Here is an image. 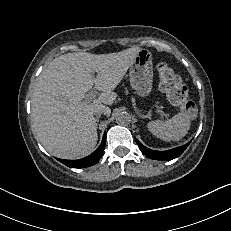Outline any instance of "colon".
<instances>
[{
    "mask_svg": "<svg viewBox=\"0 0 231 231\" xmlns=\"http://www.w3.org/2000/svg\"><path fill=\"white\" fill-rule=\"evenodd\" d=\"M157 71L160 88L170 103L179 107L187 117L193 118L197 113V107L190 99L188 88L176 71L166 63H160L157 66Z\"/></svg>",
    "mask_w": 231,
    "mask_h": 231,
    "instance_id": "obj_1",
    "label": "colon"
}]
</instances>
